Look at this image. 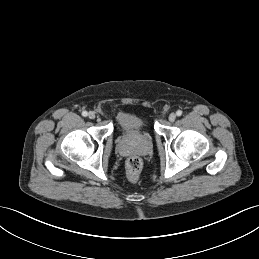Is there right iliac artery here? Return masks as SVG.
Instances as JSON below:
<instances>
[{
    "mask_svg": "<svg viewBox=\"0 0 259 259\" xmlns=\"http://www.w3.org/2000/svg\"><path fill=\"white\" fill-rule=\"evenodd\" d=\"M88 115L87 111L82 112V116L86 117Z\"/></svg>",
    "mask_w": 259,
    "mask_h": 259,
    "instance_id": "right-iliac-artery-1",
    "label": "right iliac artery"
}]
</instances>
